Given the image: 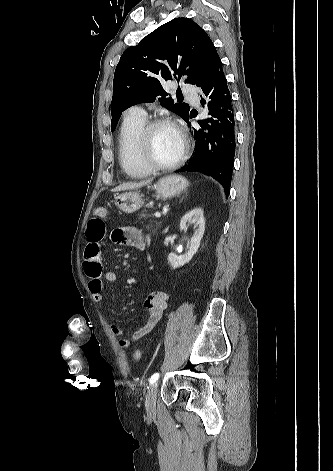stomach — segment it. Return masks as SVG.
Returning <instances> with one entry per match:
<instances>
[{"mask_svg": "<svg viewBox=\"0 0 333 471\" xmlns=\"http://www.w3.org/2000/svg\"><path fill=\"white\" fill-rule=\"evenodd\" d=\"M188 181L179 175H169L159 179L155 185L157 196L168 199L179 195L188 186ZM115 205L125 213H134L143 206L142 196L138 192L123 193L115 197Z\"/></svg>", "mask_w": 333, "mask_h": 471, "instance_id": "1", "label": "stomach"}]
</instances>
